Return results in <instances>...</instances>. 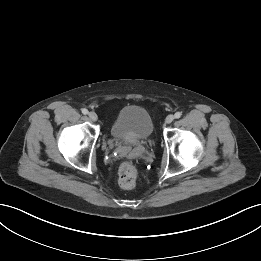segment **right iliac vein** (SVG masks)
<instances>
[{
    "mask_svg": "<svg viewBox=\"0 0 261 261\" xmlns=\"http://www.w3.org/2000/svg\"><path fill=\"white\" fill-rule=\"evenodd\" d=\"M88 116H89L90 120L93 122L97 121V119H98V116L95 112H89Z\"/></svg>",
    "mask_w": 261,
    "mask_h": 261,
    "instance_id": "obj_1",
    "label": "right iliac vein"
}]
</instances>
